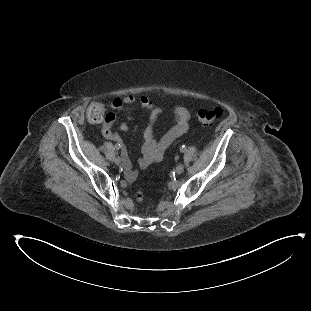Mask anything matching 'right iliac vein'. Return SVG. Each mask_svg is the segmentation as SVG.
Masks as SVG:
<instances>
[{
	"label": "right iliac vein",
	"instance_id": "63e3f726",
	"mask_svg": "<svg viewBox=\"0 0 311 311\" xmlns=\"http://www.w3.org/2000/svg\"><path fill=\"white\" fill-rule=\"evenodd\" d=\"M114 161H115L116 165H120L121 164V158L120 157H116Z\"/></svg>",
	"mask_w": 311,
	"mask_h": 311
}]
</instances>
